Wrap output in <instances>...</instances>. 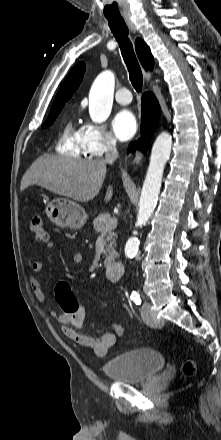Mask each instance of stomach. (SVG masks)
Masks as SVG:
<instances>
[{
	"instance_id": "stomach-1",
	"label": "stomach",
	"mask_w": 221,
	"mask_h": 440,
	"mask_svg": "<svg viewBox=\"0 0 221 440\" xmlns=\"http://www.w3.org/2000/svg\"><path fill=\"white\" fill-rule=\"evenodd\" d=\"M46 214L56 226L73 230L82 228L88 217L81 205L66 198H56L49 202Z\"/></svg>"
}]
</instances>
